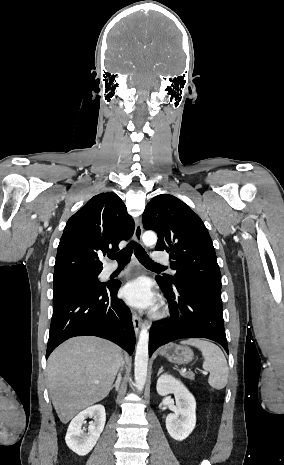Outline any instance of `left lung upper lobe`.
Returning a JSON list of instances; mask_svg holds the SVG:
<instances>
[{
	"instance_id": "5c2ea615",
	"label": "left lung upper lobe",
	"mask_w": 284,
	"mask_h": 465,
	"mask_svg": "<svg viewBox=\"0 0 284 465\" xmlns=\"http://www.w3.org/2000/svg\"><path fill=\"white\" fill-rule=\"evenodd\" d=\"M143 226L158 234L155 250L170 253L174 276H157L168 285L194 282L221 289V273L212 239L200 217L178 198L155 196L143 213Z\"/></svg>"
}]
</instances>
